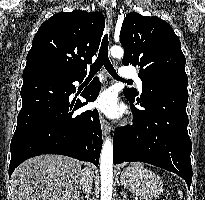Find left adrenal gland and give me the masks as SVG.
<instances>
[{
	"instance_id": "a2214340",
	"label": "left adrenal gland",
	"mask_w": 205,
	"mask_h": 200,
	"mask_svg": "<svg viewBox=\"0 0 205 200\" xmlns=\"http://www.w3.org/2000/svg\"><path fill=\"white\" fill-rule=\"evenodd\" d=\"M121 196H122V199H121V200H128V199H127L126 192H122V193H121Z\"/></svg>"
}]
</instances>
